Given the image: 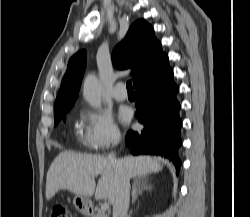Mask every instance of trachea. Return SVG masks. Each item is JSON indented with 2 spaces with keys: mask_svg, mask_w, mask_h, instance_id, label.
I'll use <instances>...</instances> for the list:
<instances>
[{
  "mask_svg": "<svg viewBox=\"0 0 250 217\" xmlns=\"http://www.w3.org/2000/svg\"><path fill=\"white\" fill-rule=\"evenodd\" d=\"M126 88L128 92H134L131 80L126 83Z\"/></svg>",
  "mask_w": 250,
  "mask_h": 217,
  "instance_id": "trachea-1",
  "label": "trachea"
}]
</instances>
